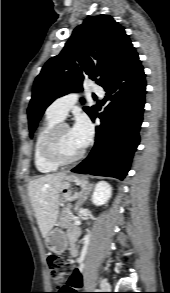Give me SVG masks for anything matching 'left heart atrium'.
Masks as SVG:
<instances>
[{
  "label": "left heart atrium",
  "mask_w": 170,
  "mask_h": 293,
  "mask_svg": "<svg viewBox=\"0 0 170 293\" xmlns=\"http://www.w3.org/2000/svg\"><path fill=\"white\" fill-rule=\"evenodd\" d=\"M71 131L74 138L81 147H84L88 144L92 133V127L88 119L80 118L71 128Z\"/></svg>",
  "instance_id": "39dd6f15"
}]
</instances>
